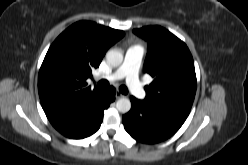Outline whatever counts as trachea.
Masks as SVG:
<instances>
[{
    "instance_id": "1",
    "label": "trachea",
    "mask_w": 248,
    "mask_h": 165,
    "mask_svg": "<svg viewBox=\"0 0 248 165\" xmlns=\"http://www.w3.org/2000/svg\"><path fill=\"white\" fill-rule=\"evenodd\" d=\"M98 85H100L101 87H108L109 86V82L107 80H100L98 82ZM119 91L122 93V94H127L128 93V89L126 86L122 85L119 87Z\"/></svg>"
}]
</instances>
